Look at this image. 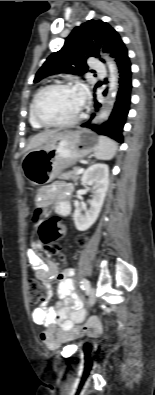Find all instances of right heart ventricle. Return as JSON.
Here are the masks:
<instances>
[{"instance_id":"obj_1","label":"right heart ventricle","mask_w":155,"mask_h":395,"mask_svg":"<svg viewBox=\"0 0 155 395\" xmlns=\"http://www.w3.org/2000/svg\"><path fill=\"white\" fill-rule=\"evenodd\" d=\"M29 122H30V124H31V126H32L33 128H35V129H40V128H41V126L38 125V124L36 123V121L34 120V118H33V116H32V113H31V103H30V107H29Z\"/></svg>"}]
</instances>
